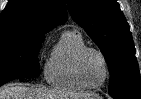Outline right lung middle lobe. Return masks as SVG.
Returning <instances> with one entry per match:
<instances>
[{
    "mask_svg": "<svg viewBox=\"0 0 141 99\" xmlns=\"http://www.w3.org/2000/svg\"><path fill=\"white\" fill-rule=\"evenodd\" d=\"M43 40L24 34L0 35V86L13 79L40 75L37 54Z\"/></svg>",
    "mask_w": 141,
    "mask_h": 99,
    "instance_id": "dd1d6c3e",
    "label": "right lung middle lobe"
}]
</instances>
